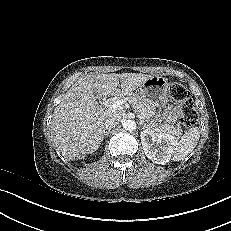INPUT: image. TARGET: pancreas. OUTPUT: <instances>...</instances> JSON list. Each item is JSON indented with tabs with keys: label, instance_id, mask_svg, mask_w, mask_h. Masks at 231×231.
Segmentation results:
<instances>
[{
	"label": "pancreas",
	"instance_id": "cf45deb5",
	"mask_svg": "<svg viewBox=\"0 0 231 231\" xmlns=\"http://www.w3.org/2000/svg\"><path fill=\"white\" fill-rule=\"evenodd\" d=\"M120 99L126 100L130 104H132L136 112L139 114V116L144 122H149L151 118L155 115L154 106H152L145 99L141 98L139 95L132 93L122 94L120 96H116L115 98L110 99L108 102V108L112 103ZM148 126L149 128L156 129L157 131L165 132L176 136H180L182 134V128L180 125L175 126L174 124L164 123L157 126L154 123H149Z\"/></svg>",
	"mask_w": 231,
	"mask_h": 231
}]
</instances>
